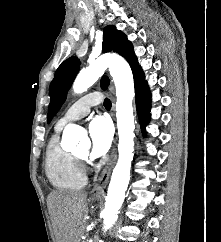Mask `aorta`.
Wrapping results in <instances>:
<instances>
[{
	"instance_id": "1",
	"label": "aorta",
	"mask_w": 221,
	"mask_h": 242,
	"mask_svg": "<svg viewBox=\"0 0 221 242\" xmlns=\"http://www.w3.org/2000/svg\"><path fill=\"white\" fill-rule=\"evenodd\" d=\"M107 68H109L116 88L119 158L111 176L103 210L105 230L109 229L116 222L130 180L135 129L132 107L135 95L133 74L129 64L122 57L106 55L99 57L89 67L82 70L73 83L74 93L81 94L91 87L104 74ZM63 138L70 143L71 147L76 145L79 147L90 146L89 138L77 125L70 124L66 126Z\"/></svg>"
}]
</instances>
